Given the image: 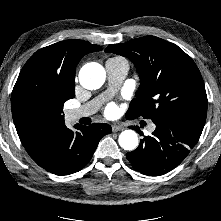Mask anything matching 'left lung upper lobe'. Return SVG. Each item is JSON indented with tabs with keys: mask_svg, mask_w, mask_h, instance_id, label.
<instances>
[{
	"mask_svg": "<svg viewBox=\"0 0 221 221\" xmlns=\"http://www.w3.org/2000/svg\"><path fill=\"white\" fill-rule=\"evenodd\" d=\"M105 51L129 58L141 79L127 118L142 116L153 122L191 120L205 124L208 102L201 73L177 45L145 36L109 45Z\"/></svg>",
	"mask_w": 221,
	"mask_h": 221,
	"instance_id": "left-lung-upper-lobe-1",
	"label": "left lung upper lobe"
}]
</instances>
